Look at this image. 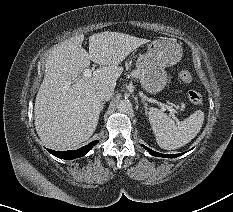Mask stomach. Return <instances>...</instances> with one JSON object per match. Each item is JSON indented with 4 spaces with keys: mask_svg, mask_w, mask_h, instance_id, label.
<instances>
[{
    "mask_svg": "<svg viewBox=\"0 0 233 212\" xmlns=\"http://www.w3.org/2000/svg\"><path fill=\"white\" fill-rule=\"evenodd\" d=\"M183 55L182 47L173 40L157 39L147 45V52L136 63L142 87L149 93L160 92L167 84L166 67L177 64Z\"/></svg>",
    "mask_w": 233,
    "mask_h": 212,
    "instance_id": "1",
    "label": "stomach"
}]
</instances>
